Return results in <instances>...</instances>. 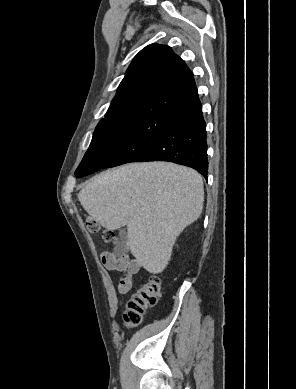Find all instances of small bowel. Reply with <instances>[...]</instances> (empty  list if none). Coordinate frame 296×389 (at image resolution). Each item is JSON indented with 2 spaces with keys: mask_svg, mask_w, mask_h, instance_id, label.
Here are the masks:
<instances>
[{
  "mask_svg": "<svg viewBox=\"0 0 296 389\" xmlns=\"http://www.w3.org/2000/svg\"><path fill=\"white\" fill-rule=\"evenodd\" d=\"M107 258H112L113 263L109 264ZM102 261L105 267L109 270H117L125 272L121 278L118 291L121 294H125L130 291L135 283V277L139 272L141 265L137 259H131L128 254L122 253L119 256L113 253L106 252L102 255Z\"/></svg>",
  "mask_w": 296,
  "mask_h": 389,
  "instance_id": "1",
  "label": "small bowel"
}]
</instances>
